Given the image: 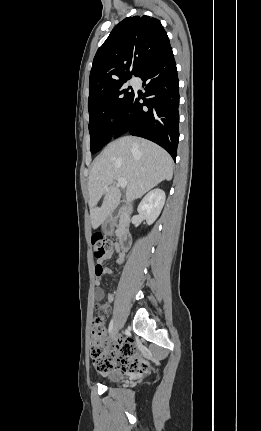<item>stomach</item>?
<instances>
[{
	"label": "stomach",
	"mask_w": 261,
	"mask_h": 431,
	"mask_svg": "<svg viewBox=\"0 0 261 431\" xmlns=\"http://www.w3.org/2000/svg\"><path fill=\"white\" fill-rule=\"evenodd\" d=\"M114 221L113 220H107L102 224V231L106 235H112L114 232Z\"/></svg>",
	"instance_id": "stomach-1"
}]
</instances>
